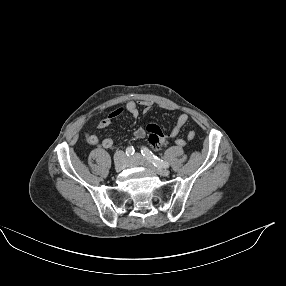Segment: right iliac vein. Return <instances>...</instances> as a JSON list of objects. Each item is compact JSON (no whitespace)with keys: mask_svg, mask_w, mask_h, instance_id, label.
Returning <instances> with one entry per match:
<instances>
[{"mask_svg":"<svg viewBox=\"0 0 286 286\" xmlns=\"http://www.w3.org/2000/svg\"><path fill=\"white\" fill-rule=\"evenodd\" d=\"M129 164L128 158L123 153H119L115 158V168L118 171L125 169Z\"/></svg>","mask_w":286,"mask_h":286,"instance_id":"right-iliac-vein-1","label":"right iliac vein"}]
</instances>
